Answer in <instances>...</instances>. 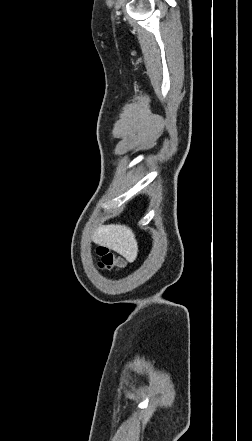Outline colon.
<instances>
[{
    "label": "colon",
    "instance_id": "5ec220e1",
    "mask_svg": "<svg viewBox=\"0 0 252 441\" xmlns=\"http://www.w3.org/2000/svg\"><path fill=\"white\" fill-rule=\"evenodd\" d=\"M97 255L99 256L98 266L101 269L113 270L124 266L125 261L117 256L113 251L104 246L97 248Z\"/></svg>",
    "mask_w": 252,
    "mask_h": 441
}]
</instances>
